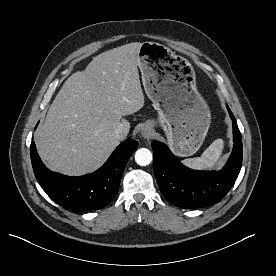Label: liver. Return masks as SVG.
<instances>
[{"label": "liver", "instance_id": "1", "mask_svg": "<svg viewBox=\"0 0 276 276\" xmlns=\"http://www.w3.org/2000/svg\"><path fill=\"white\" fill-rule=\"evenodd\" d=\"M140 47L132 42L105 51L65 81L35 138L51 171L75 177L92 173L116 148L115 128L129 125L123 117L145 102L137 68Z\"/></svg>", "mask_w": 276, "mask_h": 276}]
</instances>
